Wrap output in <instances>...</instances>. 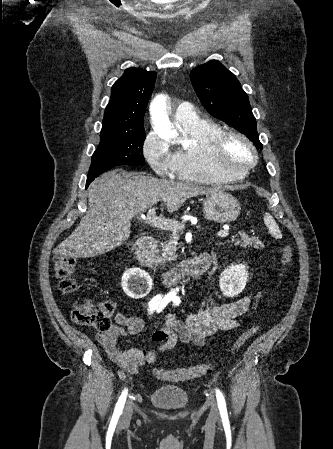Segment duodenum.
<instances>
[{"label": "duodenum", "instance_id": "obj_1", "mask_svg": "<svg viewBox=\"0 0 333 449\" xmlns=\"http://www.w3.org/2000/svg\"><path fill=\"white\" fill-rule=\"evenodd\" d=\"M157 249V240L153 237H144L133 248L140 265L152 269L154 266V255ZM211 256L203 253L188 262L182 269L173 270L163 275V284L166 288L175 286L181 278H192L203 274L211 265Z\"/></svg>", "mask_w": 333, "mask_h": 449}]
</instances>
